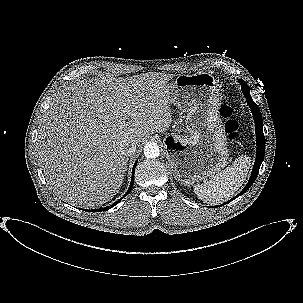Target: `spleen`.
<instances>
[{
    "instance_id": "1",
    "label": "spleen",
    "mask_w": 303,
    "mask_h": 303,
    "mask_svg": "<svg viewBox=\"0 0 303 303\" xmlns=\"http://www.w3.org/2000/svg\"><path fill=\"white\" fill-rule=\"evenodd\" d=\"M251 166L248 155L238 157L231 166L218 172L209 181L194 187V193L205 203L220 204L233 197L242 186Z\"/></svg>"
}]
</instances>
